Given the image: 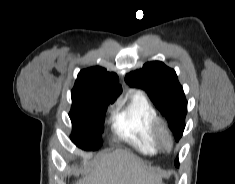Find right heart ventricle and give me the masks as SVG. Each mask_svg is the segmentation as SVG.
<instances>
[{"mask_svg": "<svg viewBox=\"0 0 235 184\" xmlns=\"http://www.w3.org/2000/svg\"><path fill=\"white\" fill-rule=\"evenodd\" d=\"M157 120L154 106L141 94H136L126 104L117 107L112 119L117 136L145 154H155L158 151L153 139V127ZM113 157L125 160L127 155L116 152Z\"/></svg>", "mask_w": 235, "mask_h": 184, "instance_id": "right-heart-ventricle-1", "label": "right heart ventricle"}]
</instances>
